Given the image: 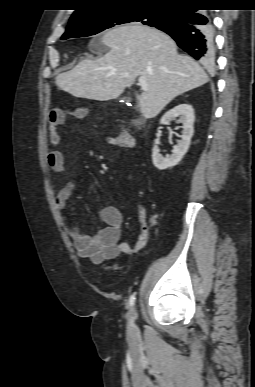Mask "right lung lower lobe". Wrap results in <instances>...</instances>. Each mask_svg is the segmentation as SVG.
<instances>
[{
  "instance_id": "right-lung-lower-lobe-1",
  "label": "right lung lower lobe",
  "mask_w": 255,
  "mask_h": 387,
  "mask_svg": "<svg viewBox=\"0 0 255 387\" xmlns=\"http://www.w3.org/2000/svg\"><path fill=\"white\" fill-rule=\"evenodd\" d=\"M199 4L172 7L167 22L157 28L194 59L210 65L215 59L212 19L206 10H198Z\"/></svg>"
}]
</instances>
